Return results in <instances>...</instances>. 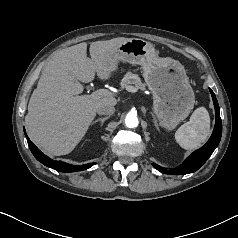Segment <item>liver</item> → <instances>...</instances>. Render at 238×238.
Here are the masks:
<instances>
[{"mask_svg":"<svg viewBox=\"0 0 238 238\" xmlns=\"http://www.w3.org/2000/svg\"><path fill=\"white\" fill-rule=\"evenodd\" d=\"M126 39L91 43V58L87 57L85 42L52 56L31 95L25 117L31 140L46 153L55 156L70 153L86 134L97 108L117 104L112 96H79L83 92L79 81L91 82L95 73L101 80L109 79L114 71V66L109 64V52Z\"/></svg>","mask_w":238,"mask_h":238,"instance_id":"6515ba94","label":"liver"}]
</instances>
